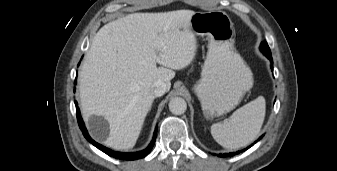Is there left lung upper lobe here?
I'll use <instances>...</instances> for the list:
<instances>
[{
  "label": "left lung upper lobe",
  "instance_id": "5c2ea615",
  "mask_svg": "<svg viewBox=\"0 0 337 171\" xmlns=\"http://www.w3.org/2000/svg\"><path fill=\"white\" fill-rule=\"evenodd\" d=\"M260 50L265 56H271V51L269 49V46L266 42H262L260 45Z\"/></svg>",
  "mask_w": 337,
  "mask_h": 171
}]
</instances>
